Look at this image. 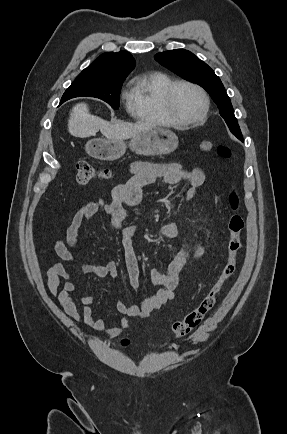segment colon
<instances>
[{
  "label": "colon",
  "mask_w": 287,
  "mask_h": 434,
  "mask_svg": "<svg viewBox=\"0 0 287 434\" xmlns=\"http://www.w3.org/2000/svg\"><path fill=\"white\" fill-rule=\"evenodd\" d=\"M200 149L205 153L216 152L223 157H227L230 154L227 147L217 146L213 141L209 140L202 141ZM76 168V182L80 185L87 184L97 178H106L109 176V169L96 167L88 162H79ZM228 200L231 209L228 225V261L219 278L199 302L198 306L188 312L182 320L173 324L171 337L174 340L188 336L201 324L205 316L214 308L218 294L235 273L238 256L243 247L242 232L244 230V218L241 212V200L237 190L234 189L230 192ZM121 344L127 346L129 341L122 339Z\"/></svg>",
  "instance_id": "5ec220e1"
}]
</instances>
